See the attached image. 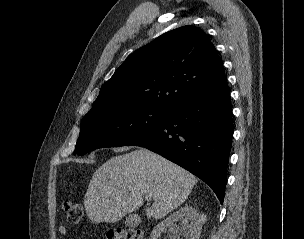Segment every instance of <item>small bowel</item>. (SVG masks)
Wrapping results in <instances>:
<instances>
[{"label": "small bowel", "instance_id": "1", "mask_svg": "<svg viewBox=\"0 0 304 239\" xmlns=\"http://www.w3.org/2000/svg\"><path fill=\"white\" fill-rule=\"evenodd\" d=\"M58 231L62 236H66L68 233L67 228L63 225L59 226Z\"/></svg>", "mask_w": 304, "mask_h": 239}]
</instances>
